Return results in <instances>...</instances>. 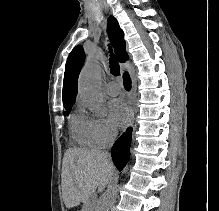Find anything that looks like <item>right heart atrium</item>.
<instances>
[{"label": "right heart atrium", "instance_id": "obj_1", "mask_svg": "<svg viewBox=\"0 0 219 211\" xmlns=\"http://www.w3.org/2000/svg\"><path fill=\"white\" fill-rule=\"evenodd\" d=\"M90 121L95 143L102 147L112 144L117 135L115 126L105 117L90 118Z\"/></svg>", "mask_w": 219, "mask_h": 211}]
</instances>
